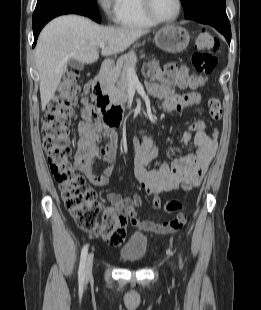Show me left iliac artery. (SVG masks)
<instances>
[{
  "mask_svg": "<svg viewBox=\"0 0 261 310\" xmlns=\"http://www.w3.org/2000/svg\"><path fill=\"white\" fill-rule=\"evenodd\" d=\"M180 263H181V267H182V262H181V259H180Z\"/></svg>",
  "mask_w": 261,
  "mask_h": 310,
  "instance_id": "obj_1",
  "label": "left iliac artery"
}]
</instances>
